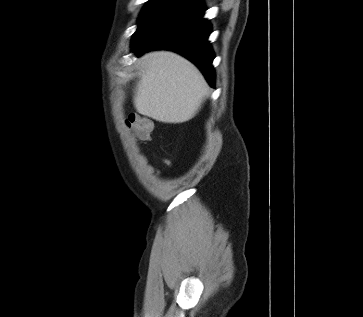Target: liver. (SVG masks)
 Instances as JSON below:
<instances>
[{"instance_id": "liver-1", "label": "liver", "mask_w": 363, "mask_h": 317, "mask_svg": "<svg viewBox=\"0 0 363 317\" xmlns=\"http://www.w3.org/2000/svg\"><path fill=\"white\" fill-rule=\"evenodd\" d=\"M144 73L136 85V111L163 123H183L200 110L208 85L200 71L171 51L142 57Z\"/></svg>"}]
</instances>
